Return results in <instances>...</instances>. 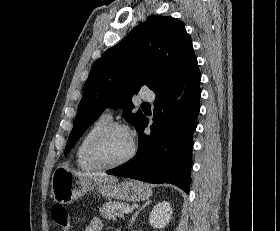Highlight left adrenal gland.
I'll return each mask as SVG.
<instances>
[{"label": "left adrenal gland", "instance_id": "1", "mask_svg": "<svg viewBox=\"0 0 280 231\" xmlns=\"http://www.w3.org/2000/svg\"><path fill=\"white\" fill-rule=\"evenodd\" d=\"M149 203H151V199H147V201H145V203H143V205H141V207H138L137 211H135V213H133V215L130 219L129 225H133L137 215H139V213H140V211H142L143 207H145V205H149Z\"/></svg>", "mask_w": 280, "mask_h": 231}]
</instances>
